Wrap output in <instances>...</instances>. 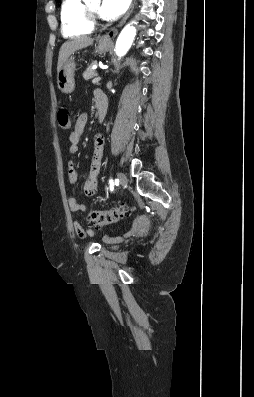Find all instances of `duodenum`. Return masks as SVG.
Masks as SVG:
<instances>
[{
	"mask_svg": "<svg viewBox=\"0 0 254 397\" xmlns=\"http://www.w3.org/2000/svg\"><path fill=\"white\" fill-rule=\"evenodd\" d=\"M96 106H97L98 120L99 122H102L105 118L108 107L107 97L103 92L101 95L98 96L96 100Z\"/></svg>",
	"mask_w": 254,
	"mask_h": 397,
	"instance_id": "obj_1",
	"label": "duodenum"
}]
</instances>
